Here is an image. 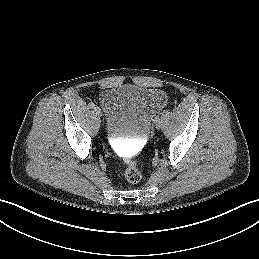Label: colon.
<instances>
[{
    "label": "colon",
    "instance_id": "5ec220e1",
    "mask_svg": "<svg viewBox=\"0 0 259 259\" xmlns=\"http://www.w3.org/2000/svg\"><path fill=\"white\" fill-rule=\"evenodd\" d=\"M125 177L128 182L134 184V183L139 182V180L141 178V174L138 169H136L135 167L132 166L126 170Z\"/></svg>",
    "mask_w": 259,
    "mask_h": 259
}]
</instances>
